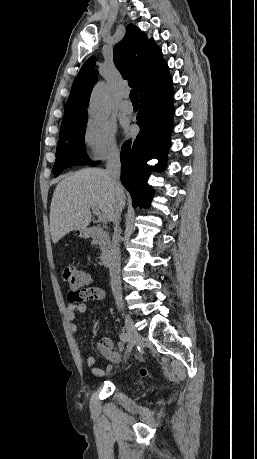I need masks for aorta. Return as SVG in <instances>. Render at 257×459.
<instances>
[{"instance_id": "762f6f07", "label": "aorta", "mask_w": 257, "mask_h": 459, "mask_svg": "<svg viewBox=\"0 0 257 459\" xmlns=\"http://www.w3.org/2000/svg\"><path fill=\"white\" fill-rule=\"evenodd\" d=\"M109 111V91L104 83H98L91 95L89 114L92 120L100 122L106 119Z\"/></svg>"}]
</instances>
